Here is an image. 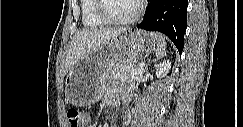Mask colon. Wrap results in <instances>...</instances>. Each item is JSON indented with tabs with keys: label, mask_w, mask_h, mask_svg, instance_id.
Returning <instances> with one entry per match:
<instances>
[{
	"label": "colon",
	"mask_w": 243,
	"mask_h": 127,
	"mask_svg": "<svg viewBox=\"0 0 243 127\" xmlns=\"http://www.w3.org/2000/svg\"><path fill=\"white\" fill-rule=\"evenodd\" d=\"M67 119L70 127H83L85 124V119L81 112L74 108L68 110Z\"/></svg>",
	"instance_id": "5ec220e1"
}]
</instances>
